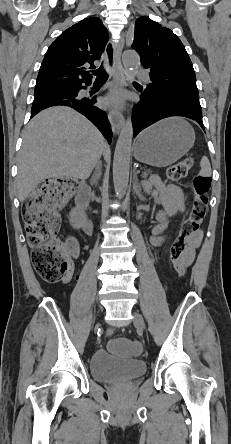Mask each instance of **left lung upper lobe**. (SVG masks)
Here are the masks:
<instances>
[{"instance_id":"1","label":"left lung upper lobe","mask_w":231,"mask_h":444,"mask_svg":"<svg viewBox=\"0 0 231 444\" xmlns=\"http://www.w3.org/2000/svg\"><path fill=\"white\" fill-rule=\"evenodd\" d=\"M132 48L150 71L151 84L145 91L163 92L199 99L195 71L180 39L168 28L140 17L136 20Z\"/></svg>"}]
</instances>
